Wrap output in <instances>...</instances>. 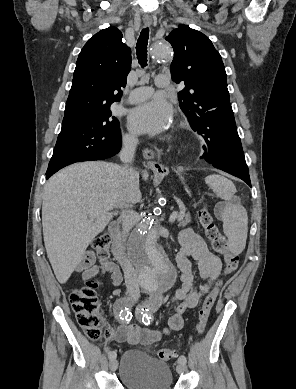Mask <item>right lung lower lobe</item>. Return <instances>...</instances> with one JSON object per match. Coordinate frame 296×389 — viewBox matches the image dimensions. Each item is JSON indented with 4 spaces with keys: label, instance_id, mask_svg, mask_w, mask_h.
Returning <instances> with one entry per match:
<instances>
[{
    "label": "right lung lower lobe",
    "instance_id": "right-lung-lower-lobe-1",
    "mask_svg": "<svg viewBox=\"0 0 296 389\" xmlns=\"http://www.w3.org/2000/svg\"><path fill=\"white\" fill-rule=\"evenodd\" d=\"M120 148H121V145L119 146V148H117L114 151H108L106 153L100 154V155H102L101 158L100 157H95V158H91V159H88V160H102V159H106V158L112 157V156H114L115 154H117L119 152ZM61 168H63V167H57V168L48 167V170L46 172V179H48L51 175H53L55 172H57Z\"/></svg>",
    "mask_w": 296,
    "mask_h": 389
}]
</instances>
